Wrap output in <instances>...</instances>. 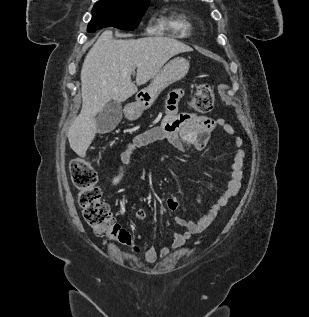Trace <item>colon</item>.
Here are the masks:
<instances>
[{
    "label": "colon",
    "instance_id": "colon-1",
    "mask_svg": "<svg viewBox=\"0 0 309 317\" xmlns=\"http://www.w3.org/2000/svg\"><path fill=\"white\" fill-rule=\"evenodd\" d=\"M189 105L196 112L211 111L214 94L210 86L200 85L192 95ZM69 169L71 180L79 190L78 202L87 224L98 236L130 246V234L116 222L108 204L102 200V192L97 187V173L91 164L85 159L75 158L71 160Z\"/></svg>",
    "mask_w": 309,
    "mask_h": 317
}]
</instances>
